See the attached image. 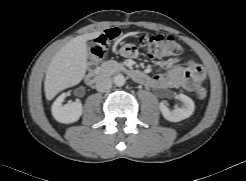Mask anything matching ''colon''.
<instances>
[{
  "label": "colon",
  "mask_w": 246,
  "mask_h": 181,
  "mask_svg": "<svg viewBox=\"0 0 246 181\" xmlns=\"http://www.w3.org/2000/svg\"><path fill=\"white\" fill-rule=\"evenodd\" d=\"M117 29H109L104 34L99 35L90 47V66L93 67L107 54L110 44L118 37ZM141 48L146 51L152 58H161L168 55H178L181 52V47L174 41L171 36L162 34L139 36ZM190 68L196 74L202 72V67L192 62ZM199 100H204L207 97V90L200 87L195 92Z\"/></svg>",
  "instance_id": "obj_1"
}]
</instances>
